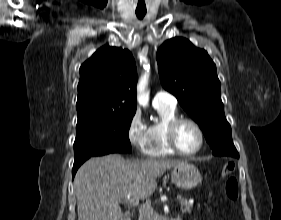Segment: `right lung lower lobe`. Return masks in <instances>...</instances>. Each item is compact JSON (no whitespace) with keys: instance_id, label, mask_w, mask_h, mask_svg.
Returning a JSON list of instances; mask_svg holds the SVG:
<instances>
[{"instance_id":"right-lung-lower-lobe-1","label":"right lung lower lobe","mask_w":281,"mask_h":220,"mask_svg":"<svg viewBox=\"0 0 281 220\" xmlns=\"http://www.w3.org/2000/svg\"><path fill=\"white\" fill-rule=\"evenodd\" d=\"M90 157H86V158H83V159H80V160H76L74 161V165H73V169H72V174H73V177L77 171V169L81 166V164L83 162H85L87 159H89Z\"/></svg>"}]
</instances>
